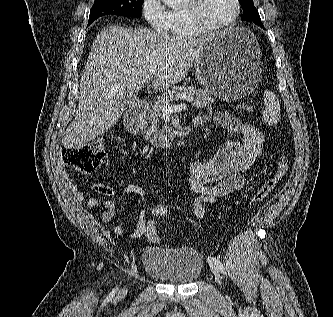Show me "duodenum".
<instances>
[{
  "label": "duodenum",
  "mask_w": 333,
  "mask_h": 317,
  "mask_svg": "<svg viewBox=\"0 0 333 317\" xmlns=\"http://www.w3.org/2000/svg\"><path fill=\"white\" fill-rule=\"evenodd\" d=\"M150 103L148 101H142L134 106L125 116L124 123L128 132L133 135H138L144 124L146 112ZM195 126L198 124L194 123ZM183 146H176L170 149L172 155H177L183 150Z\"/></svg>",
  "instance_id": "obj_1"
}]
</instances>
